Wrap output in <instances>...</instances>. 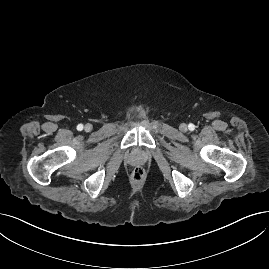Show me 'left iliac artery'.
<instances>
[{
  "instance_id": "obj_1",
  "label": "left iliac artery",
  "mask_w": 269,
  "mask_h": 269,
  "mask_svg": "<svg viewBox=\"0 0 269 269\" xmlns=\"http://www.w3.org/2000/svg\"><path fill=\"white\" fill-rule=\"evenodd\" d=\"M188 128H189L190 131H193V130L195 129V125L192 124V123H190V124L188 125Z\"/></svg>"
}]
</instances>
